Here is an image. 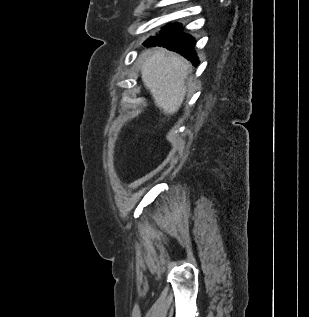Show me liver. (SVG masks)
Returning a JSON list of instances; mask_svg holds the SVG:
<instances>
[{
	"label": "liver",
	"mask_w": 309,
	"mask_h": 317,
	"mask_svg": "<svg viewBox=\"0 0 309 317\" xmlns=\"http://www.w3.org/2000/svg\"><path fill=\"white\" fill-rule=\"evenodd\" d=\"M191 65L176 53L157 49L141 59V78L156 106L166 115L176 113L186 94Z\"/></svg>",
	"instance_id": "6515ba94"
}]
</instances>
